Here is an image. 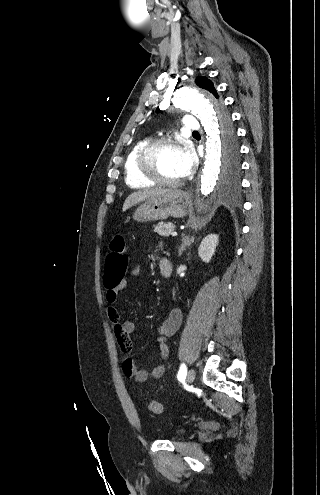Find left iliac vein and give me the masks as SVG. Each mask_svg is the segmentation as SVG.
Returning <instances> with one entry per match:
<instances>
[{
	"label": "left iliac vein",
	"mask_w": 320,
	"mask_h": 495,
	"mask_svg": "<svg viewBox=\"0 0 320 495\" xmlns=\"http://www.w3.org/2000/svg\"><path fill=\"white\" fill-rule=\"evenodd\" d=\"M195 379V371L194 369H190L187 373L186 380L189 384H191Z\"/></svg>",
	"instance_id": "left-iliac-vein-1"
}]
</instances>
